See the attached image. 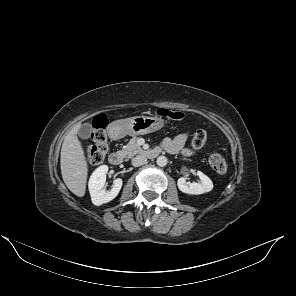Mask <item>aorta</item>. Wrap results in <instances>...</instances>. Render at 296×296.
<instances>
[{
	"mask_svg": "<svg viewBox=\"0 0 296 296\" xmlns=\"http://www.w3.org/2000/svg\"><path fill=\"white\" fill-rule=\"evenodd\" d=\"M167 162H168V160L165 156H159L156 160L157 165L160 167L166 166Z\"/></svg>",
	"mask_w": 296,
	"mask_h": 296,
	"instance_id": "762f6f07",
	"label": "aorta"
}]
</instances>
